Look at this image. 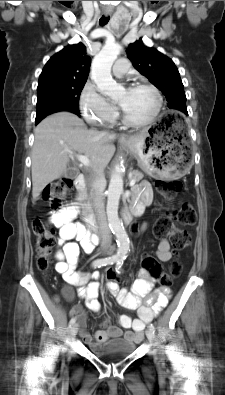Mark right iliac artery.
Here are the masks:
<instances>
[{
    "label": "right iliac artery",
    "instance_id": "obj_1",
    "mask_svg": "<svg viewBox=\"0 0 225 395\" xmlns=\"http://www.w3.org/2000/svg\"><path fill=\"white\" fill-rule=\"evenodd\" d=\"M118 256L114 255L111 257H106V258H102V259H97L95 261H93L92 263V267L94 268H100L102 266H106V265H112L114 264L117 260H118ZM76 319L72 318L69 322V325L72 326L75 323Z\"/></svg>",
    "mask_w": 225,
    "mask_h": 395
}]
</instances>
